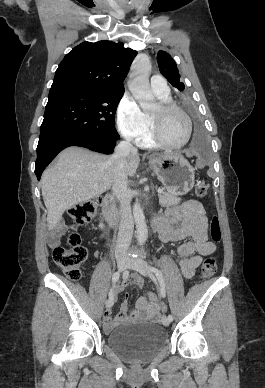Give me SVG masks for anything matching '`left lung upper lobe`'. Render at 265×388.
I'll return each mask as SVG.
<instances>
[{
	"label": "left lung upper lobe",
	"mask_w": 265,
	"mask_h": 388,
	"mask_svg": "<svg viewBox=\"0 0 265 388\" xmlns=\"http://www.w3.org/2000/svg\"><path fill=\"white\" fill-rule=\"evenodd\" d=\"M159 70L162 75L178 90H184V83L180 82V75L176 66V62L172 57L164 51H159L157 55Z\"/></svg>",
	"instance_id": "5c2ea615"
}]
</instances>
